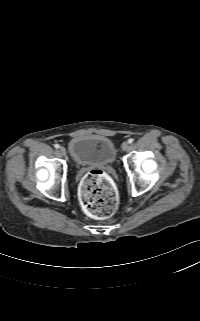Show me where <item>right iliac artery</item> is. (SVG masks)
<instances>
[{
	"mask_svg": "<svg viewBox=\"0 0 200 321\" xmlns=\"http://www.w3.org/2000/svg\"><path fill=\"white\" fill-rule=\"evenodd\" d=\"M54 147H55L56 149H58V148H60V145H59V144H55Z\"/></svg>",
	"mask_w": 200,
	"mask_h": 321,
	"instance_id": "82829eb1",
	"label": "right iliac artery"
}]
</instances>
